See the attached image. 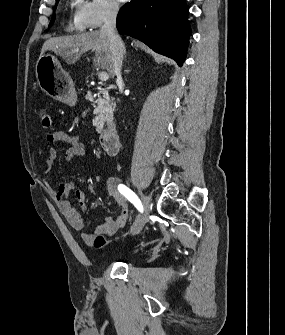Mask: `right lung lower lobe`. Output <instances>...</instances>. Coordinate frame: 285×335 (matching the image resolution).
Wrapping results in <instances>:
<instances>
[{
  "label": "right lung lower lobe",
  "mask_w": 285,
  "mask_h": 335,
  "mask_svg": "<svg viewBox=\"0 0 285 335\" xmlns=\"http://www.w3.org/2000/svg\"><path fill=\"white\" fill-rule=\"evenodd\" d=\"M183 1L131 0L118 13L117 28L182 66L191 34Z\"/></svg>",
  "instance_id": "obj_1"
}]
</instances>
